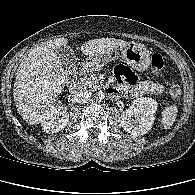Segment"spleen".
<instances>
[{"instance_id":"spleen-1","label":"spleen","mask_w":195,"mask_h":195,"mask_svg":"<svg viewBox=\"0 0 195 195\" xmlns=\"http://www.w3.org/2000/svg\"><path fill=\"white\" fill-rule=\"evenodd\" d=\"M178 108L175 104L165 107L161 112V122L164 129H169L176 120Z\"/></svg>"}]
</instances>
